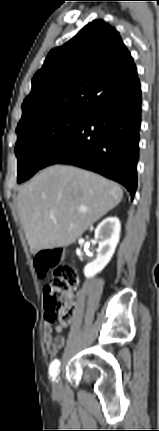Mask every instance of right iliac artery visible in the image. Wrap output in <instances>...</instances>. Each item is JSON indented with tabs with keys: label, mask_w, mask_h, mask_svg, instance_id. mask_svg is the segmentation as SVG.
<instances>
[{
	"label": "right iliac artery",
	"mask_w": 159,
	"mask_h": 431,
	"mask_svg": "<svg viewBox=\"0 0 159 431\" xmlns=\"http://www.w3.org/2000/svg\"><path fill=\"white\" fill-rule=\"evenodd\" d=\"M59 365H60L59 360H54V361L51 363L50 368H49V373H50V375H51L52 377H55V376H56V374H57V369H58Z\"/></svg>",
	"instance_id": "82829eb1"
}]
</instances>
